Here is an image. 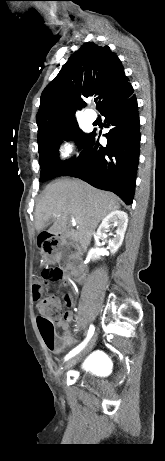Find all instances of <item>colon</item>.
I'll return each instance as SVG.
<instances>
[{
	"label": "colon",
	"instance_id": "obj_1",
	"mask_svg": "<svg viewBox=\"0 0 165 461\" xmlns=\"http://www.w3.org/2000/svg\"><path fill=\"white\" fill-rule=\"evenodd\" d=\"M56 242L45 239L42 243V249L49 253L55 247ZM63 273L59 267L47 266L41 271L40 277L33 284V296L37 301L39 316L37 324L42 339L48 349L55 348L58 338L55 331V320L62 317L61 300L56 295L43 296L45 289L50 283H61Z\"/></svg>",
	"mask_w": 165,
	"mask_h": 461
}]
</instances>
